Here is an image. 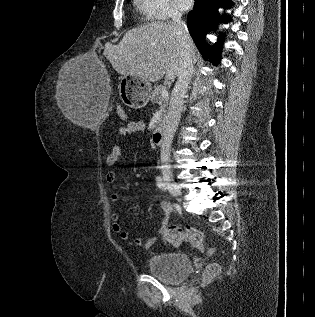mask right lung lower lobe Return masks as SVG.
<instances>
[{
  "label": "right lung lower lobe",
  "mask_w": 315,
  "mask_h": 317,
  "mask_svg": "<svg viewBox=\"0 0 315 317\" xmlns=\"http://www.w3.org/2000/svg\"><path fill=\"white\" fill-rule=\"evenodd\" d=\"M231 4V0H195L193 10L188 13L187 27L191 37L203 56L211 59L214 64H217L215 60L220 58L222 37L219 36L218 42L214 46L205 47V35L220 22L230 21V16L219 17L218 8L224 6L225 9H228Z\"/></svg>",
  "instance_id": "right-lung-lower-lobe-1"
}]
</instances>
